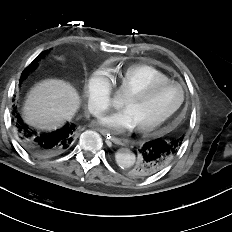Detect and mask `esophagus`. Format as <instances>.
Returning <instances> with one entry per match:
<instances>
[{
    "instance_id": "34e87169",
    "label": "esophagus",
    "mask_w": 232,
    "mask_h": 232,
    "mask_svg": "<svg viewBox=\"0 0 232 232\" xmlns=\"http://www.w3.org/2000/svg\"><path fill=\"white\" fill-rule=\"evenodd\" d=\"M96 130L98 132H100L103 136H105L106 140L108 141H111L115 144H120L121 143V140L116 138V137H113L110 135V133L106 130V129H103V128H96Z\"/></svg>"
}]
</instances>
